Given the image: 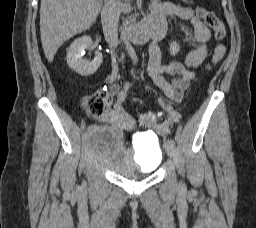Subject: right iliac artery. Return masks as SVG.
Returning a JSON list of instances; mask_svg holds the SVG:
<instances>
[{"label": "right iliac artery", "instance_id": "82829eb1", "mask_svg": "<svg viewBox=\"0 0 256 228\" xmlns=\"http://www.w3.org/2000/svg\"><path fill=\"white\" fill-rule=\"evenodd\" d=\"M96 128H97L96 125H93V124L90 125V126L88 127V134H89L90 131H94Z\"/></svg>", "mask_w": 256, "mask_h": 228}]
</instances>
